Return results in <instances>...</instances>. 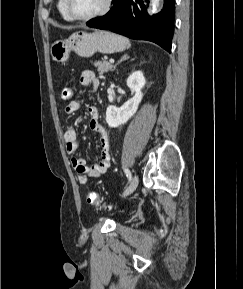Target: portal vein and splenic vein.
Returning <instances> with one entry per match:
<instances>
[{
	"label": "portal vein and splenic vein",
	"mask_w": 243,
	"mask_h": 289,
	"mask_svg": "<svg viewBox=\"0 0 243 289\" xmlns=\"http://www.w3.org/2000/svg\"><path fill=\"white\" fill-rule=\"evenodd\" d=\"M109 62H110V63H114V60H113V59H110Z\"/></svg>",
	"instance_id": "18ae733b"
}]
</instances>
